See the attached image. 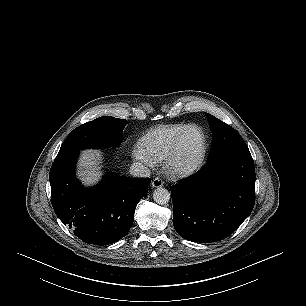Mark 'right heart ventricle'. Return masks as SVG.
<instances>
[{"label": "right heart ventricle", "instance_id": "e07e8e85", "mask_svg": "<svg viewBox=\"0 0 306 306\" xmlns=\"http://www.w3.org/2000/svg\"><path fill=\"white\" fill-rule=\"evenodd\" d=\"M185 125H168L148 131L140 140L142 148L155 160L163 161L170 155L175 141Z\"/></svg>", "mask_w": 306, "mask_h": 306}]
</instances>
